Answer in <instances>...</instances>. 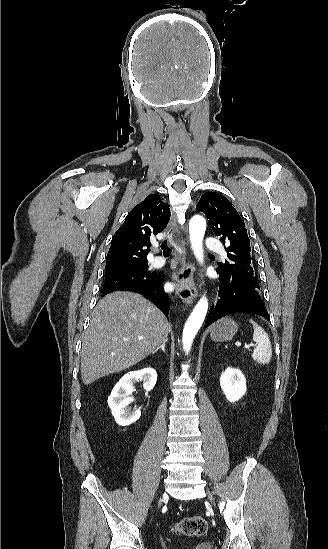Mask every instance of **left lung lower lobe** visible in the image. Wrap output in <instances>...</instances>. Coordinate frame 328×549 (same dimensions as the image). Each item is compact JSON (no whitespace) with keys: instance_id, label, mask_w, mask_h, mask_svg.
<instances>
[{"instance_id":"1","label":"left lung lower lobe","mask_w":328,"mask_h":549,"mask_svg":"<svg viewBox=\"0 0 328 549\" xmlns=\"http://www.w3.org/2000/svg\"><path fill=\"white\" fill-rule=\"evenodd\" d=\"M219 282L217 303L211 307L205 326L223 316L239 312L253 313L269 319L258 281L219 274Z\"/></svg>"}]
</instances>
